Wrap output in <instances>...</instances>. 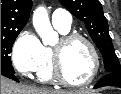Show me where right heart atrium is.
Masks as SVG:
<instances>
[{"label":"right heart atrium","mask_w":121,"mask_h":94,"mask_svg":"<svg viewBox=\"0 0 121 94\" xmlns=\"http://www.w3.org/2000/svg\"><path fill=\"white\" fill-rule=\"evenodd\" d=\"M43 60V45L31 31L22 32L11 50V61L14 69L21 76L35 73Z\"/></svg>","instance_id":"d8ad5b80"}]
</instances>
